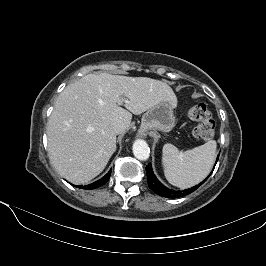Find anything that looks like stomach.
I'll return each mask as SVG.
<instances>
[{
  "label": "stomach",
  "mask_w": 266,
  "mask_h": 266,
  "mask_svg": "<svg viewBox=\"0 0 266 266\" xmlns=\"http://www.w3.org/2000/svg\"><path fill=\"white\" fill-rule=\"evenodd\" d=\"M174 108L171 102L163 101L148 109L142 116L140 131H171L175 126Z\"/></svg>",
  "instance_id": "1"
}]
</instances>
